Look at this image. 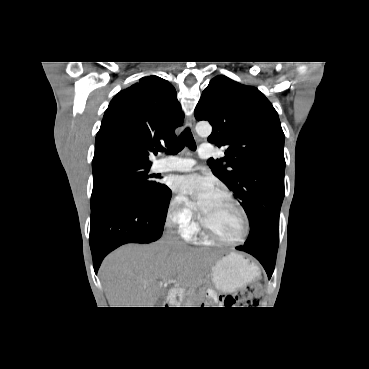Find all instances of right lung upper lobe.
<instances>
[{
    "instance_id": "cb5924a9",
    "label": "right lung upper lobe",
    "mask_w": 369,
    "mask_h": 369,
    "mask_svg": "<svg viewBox=\"0 0 369 369\" xmlns=\"http://www.w3.org/2000/svg\"><path fill=\"white\" fill-rule=\"evenodd\" d=\"M174 87L157 77H143L120 91L105 111L96 135L92 165L128 161L151 165L155 146H169L182 125Z\"/></svg>"
}]
</instances>
